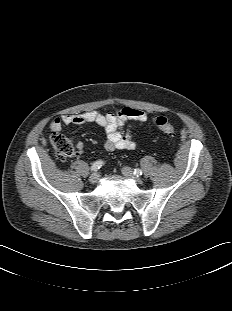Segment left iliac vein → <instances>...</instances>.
I'll return each instance as SVG.
<instances>
[{"instance_id": "left-iliac-vein-1", "label": "left iliac vein", "mask_w": 232, "mask_h": 311, "mask_svg": "<svg viewBox=\"0 0 232 311\" xmlns=\"http://www.w3.org/2000/svg\"><path fill=\"white\" fill-rule=\"evenodd\" d=\"M122 174L128 178H132L133 180H135V182H137L138 184L142 183V179L140 177H137L134 175L132 169L130 167H123L122 168Z\"/></svg>"}]
</instances>
